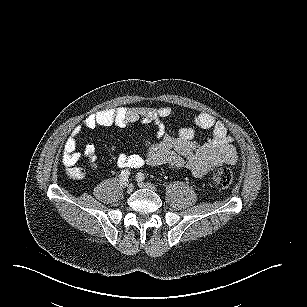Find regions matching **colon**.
<instances>
[{
  "label": "colon",
  "instance_id": "1",
  "mask_svg": "<svg viewBox=\"0 0 307 307\" xmlns=\"http://www.w3.org/2000/svg\"><path fill=\"white\" fill-rule=\"evenodd\" d=\"M68 173L73 178H82L84 176V171L75 164L68 168ZM211 181L216 187L227 189L233 183V173L227 167H218L213 170Z\"/></svg>",
  "mask_w": 307,
  "mask_h": 307
}]
</instances>
